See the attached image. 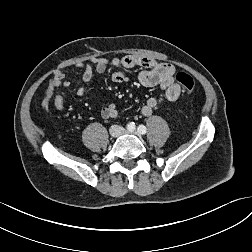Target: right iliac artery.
<instances>
[{"label": "right iliac artery", "mask_w": 252, "mask_h": 252, "mask_svg": "<svg viewBox=\"0 0 252 252\" xmlns=\"http://www.w3.org/2000/svg\"><path fill=\"white\" fill-rule=\"evenodd\" d=\"M135 129V124L133 122L127 124V130L132 131Z\"/></svg>", "instance_id": "82829eb1"}]
</instances>
